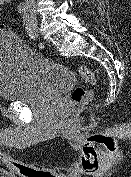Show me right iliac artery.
<instances>
[{
    "mask_svg": "<svg viewBox=\"0 0 131 177\" xmlns=\"http://www.w3.org/2000/svg\"><path fill=\"white\" fill-rule=\"evenodd\" d=\"M18 10H19L20 13H25L26 10H27V6L25 4H20L18 6Z\"/></svg>",
    "mask_w": 131,
    "mask_h": 177,
    "instance_id": "right-iliac-artery-1",
    "label": "right iliac artery"
}]
</instances>
